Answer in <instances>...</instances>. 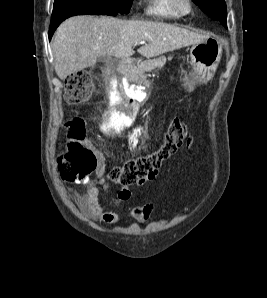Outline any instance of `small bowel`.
I'll return each instance as SVG.
<instances>
[{
	"mask_svg": "<svg viewBox=\"0 0 267 298\" xmlns=\"http://www.w3.org/2000/svg\"><path fill=\"white\" fill-rule=\"evenodd\" d=\"M155 173L151 178L141 181L136 185H142L146 181L155 178ZM98 183L105 189L109 188L108 183L104 178V162L103 159H99L97 169ZM72 197L75 203L79 206L82 212L89 218L94 220H101L108 224H115L119 221V215L114 212H108L103 209L98 200V189L95 186H90L85 195L78 193H72ZM131 198V191L129 186H124L118 193L117 202L120 204L126 203ZM154 210V204L149 203L142 206H135L130 210V217L138 223L147 221Z\"/></svg>",
	"mask_w": 267,
	"mask_h": 298,
	"instance_id": "c3829d8e",
	"label": "small bowel"
}]
</instances>
